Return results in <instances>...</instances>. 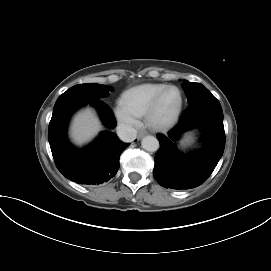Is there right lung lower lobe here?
Returning a JSON list of instances; mask_svg holds the SVG:
<instances>
[{
	"mask_svg": "<svg viewBox=\"0 0 271 271\" xmlns=\"http://www.w3.org/2000/svg\"><path fill=\"white\" fill-rule=\"evenodd\" d=\"M95 106L103 123L113 128L116 121L111 109L101 99L56 103L49 124L48 140L58 170L68 179L86 185L107 182L119 169V157L128 147L112 132L104 131L88 147L77 149L67 139L66 128L72 113L79 107Z\"/></svg>",
	"mask_w": 271,
	"mask_h": 271,
	"instance_id": "right-lung-lower-lobe-1",
	"label": "right lung lower lobe"
}]
</instances>
